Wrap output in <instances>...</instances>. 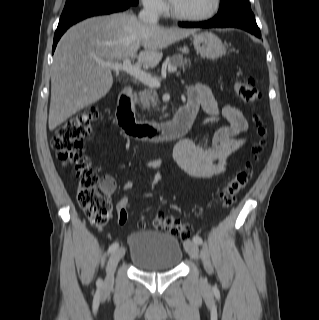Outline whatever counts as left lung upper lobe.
Returning <instances> with one entry per match:
<instances>
[{
    "instance_id": "1",
    "label": "left lung upper lobe",
    "mask_w": 319,
    "mask_h": 320,
    "mask_svg": "<svg viewBox=\"0 0 319 320\" xmlns=\"http://www.w3.org/2000/svg\"><path fill=\"white\" fill-rule=\"evenodd\" d=\"M236 8L251 9L249 0H220V9L218 12H225Z\"/></svg>"
}]
</instances>
